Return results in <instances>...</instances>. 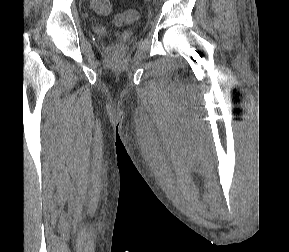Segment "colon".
Here are the masks:
<instances>
[{
    "mask_svg": "<svg viewBox=\"0 0 289 252\" xmlns=\"http://www.w3.org/2000/svg\"><path fill=\"white\" fill-rule=\"evenodd\" d=\"M93 8L99 14H108L111 11V4L109 0H93ZM121 19L125 22L130 23L138 19V12L134 9H128L123 13ZM108 43L113 50H116L117 40L113 36L108 37Z\"/></svg>",
    "mask_w": 289,
    "mask_h": 252,
    "instance_id": "5ec220e1",
    "label": "colon"
}]
</instances>
